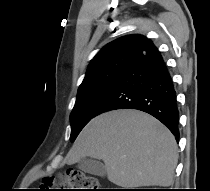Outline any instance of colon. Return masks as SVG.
I'll return each instance as SVG.
<instances>
[{"label": "colon", "mask_w": 210, "mask_h": 191, "mask_svg": "<svg viewBox=\"0 0 210 191\" xmlns=\"http://www.w3.org/2000/svg\"><path fill=\"white\" fill-rule=\"evenodd\" d=\"M63 181L67 186V189H61L64 191H103L97 178L87 175L83 172H68L63 177ZM48 182L52 183L53 181L48 179Z\"/></svg>", "instance_id": "obj_1"}]
</instances>
